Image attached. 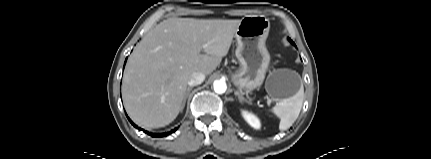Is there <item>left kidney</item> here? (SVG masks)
<instances>
[{
    "label": "left kidney",
    "mask_w": 431,
    "mask_h": 159,
    "mask_svg": "<svg viewBox=\"0 0 431 159\" xmlns=\"http://www.w3.org/2000/svg\"><path fill=\"white\" fill-rule=\"evenodd\" d=\"M242 115L244 119L248 122V124L251 125L253 128H260V121L255 115L248 113L247 111H242Z\"/></svg>",
    "instance_id": "left-kidney-1"
}]
</instances>
